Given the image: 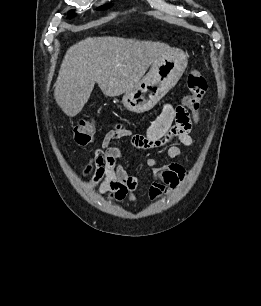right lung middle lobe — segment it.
Returning <instances> with one entry per match:
<instances>
[{
  "mask_svg": "<svg viewBox=\"0 0 261 306\" xmlns=\"http://www.w3.org/2000/svg\"><path fill=\"white\" fill-rule=\"evenodd\" d=\"M113 4H106V5H102L100 7L97 8V10H105V9H108L112 6ZM69 17L72 18L75 14H74V11H70L69 12Z\"/></svg>",
  "mask_w": 261,
  "mask_h": 306,
  "instance_id": "obj_1",
  "label": "right lung middle lobe"
}]
</instances>
